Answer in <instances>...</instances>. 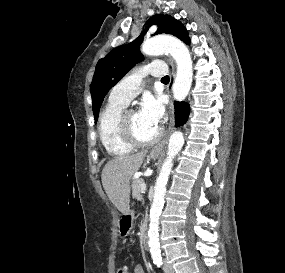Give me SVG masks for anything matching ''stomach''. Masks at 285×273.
Returning <instances> with one entry per match:
<instances>
[{
	"instance_id": "0dacf381",
	"label": "stomach",
	"mask_w": 285,
	"mask_h": 273,
	"mask_svg": "<svg viewBox=\"0 0 285 273\" xmlns=\"http://www.w3.org/2000/svg\"><path fill=\"white\" fill-rule=\"evenodd\" d=\"M158 157V154H153L151 153L149 155V158L151 159H156ZM133 219H134V213L133 211H129L128 214H125L124 217L121 219V223L119 225V232L123 235V236H127L131 229H132V225H133ZM129 224L128 228H126V225Z\"/></svg>"
}]
</instances>
